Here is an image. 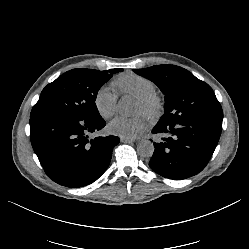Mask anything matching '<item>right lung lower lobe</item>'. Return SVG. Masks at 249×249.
Here are the masks:
<instances>
[{"label": "right lung lower lobe", "instance_id": "98d812e1", "mask_svg": "<svg viewBox=\"0 0 249 249\" xmlns=\"http://www.w3.org/2000/svg\"><path fill=\"white\" fill-rule=\"evenodd\" d=\"M105 124L103 118L82 119L67 114L31 117V143L46 174L56 183L72 188L97 180L120 142L116 136L88 139Z\"/></svg>", "mask_w": 249, "mask_h": 249}]
</instances>
